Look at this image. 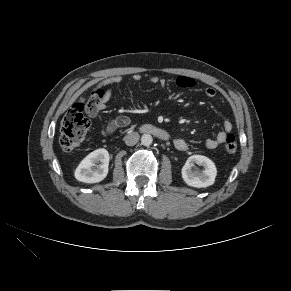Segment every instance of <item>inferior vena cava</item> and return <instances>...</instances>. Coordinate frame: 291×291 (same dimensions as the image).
<instances>
[{"mask_svg":"<svg viewBox=\"0 0 291 291\" xmlns=\"http://www.w3.org/2000/svg\"><path fill=\"white\" fill-rule=\"evenodd\" d=\"M139 134L137 132L130 133L125 136L124 141L128 146H133L139 141Z\"/></svg>","mask_w":291,"mask_h":291,"instance_id":"obj_1","label":"inferior vena cava"}]
</instances>
